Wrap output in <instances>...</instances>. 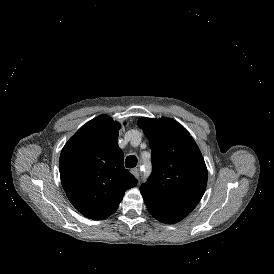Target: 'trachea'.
<instances>
[{"label": "trachea", "mask_w": 274, "mask_h": 274, "mask_svg": "<svg viewBox=\"0 0 274 274\" xmlns=\"http://www.w3.org/2000/svg\"><path fill=\"white\" fill-rule=\"evenodd\" d=\"M137 165V158L134 155H130L125 160V166L127 168H134Z\"/></svg>", "instance_id": "1"}]
</instances>
